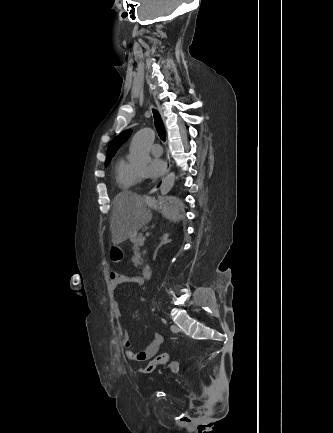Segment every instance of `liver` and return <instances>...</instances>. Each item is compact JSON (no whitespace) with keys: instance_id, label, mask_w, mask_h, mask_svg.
<instances>
[{"instance_id":"6515ba94","label":"liver","mask_w":333,"mask_h":433,"mask_svg":"<svg viewBox=\"0 0 333 433\" xmlns=\"http://www.w3.org/2000/svg\"><path fill=\"white\" fill-rule=\"evenodd\" d=\"M110 230L112 243L121 244L152 219V214L146 209L142 196L131 191H123L113 199Z\"/></svg>"}]
</instances>
